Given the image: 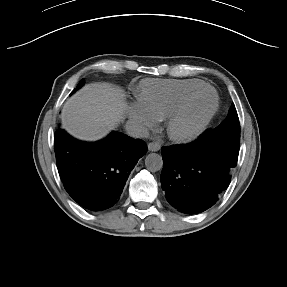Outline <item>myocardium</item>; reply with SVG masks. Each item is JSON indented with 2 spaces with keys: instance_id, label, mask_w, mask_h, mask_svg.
Instances as JSON below:
<instances>
[{
  "instance_id": "1",
  "label": "myocardium",
  "mask_w": 287,
  "mask_h": 287,
  "mask_svg": "<svg viewBox=\"0 0 287 287\" xmlns=\"http://www.w3.org/2000/svg\"><path fill=\"white\" fill-rule=\"evenodd\" d=\"M209 92L213 97V104L208 113L195 125L188 129H181L180 122L191 101L200 93ZM219 108V97L215 89L204 85L189 92L178 103L173 112L167 118L166 130L169 138L177 143H186L197 138L210 124Z\"/></svg>"
}]
</instances>
